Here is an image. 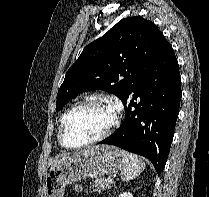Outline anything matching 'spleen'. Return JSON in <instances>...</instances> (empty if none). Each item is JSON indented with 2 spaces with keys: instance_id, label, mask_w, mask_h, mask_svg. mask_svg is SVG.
Segmentation results:
<instances>
[{
  "instance_id": "obj_1",
  "label": "spleen",
  "mask_w": 209,
  "mask_h": 197,
  "mask_svg": "<svg viewBox=\"0 0 209 197\" xmlns=\"http://www.w3.org/2000/svg\"><path fill=\"white\" fill-rule=\"evenodd\" d=\"M121 155L124 159V168L121 176L123 181L136 178L145 169V163L137 155L126 151H121Z\"/></svg>"
}]
</instances>
